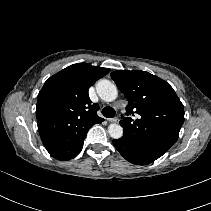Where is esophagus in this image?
<instances>
[{
  "instance_id": "34e87169",
  "label": "esophagus",
  "mask_w": 211,
  "mask_h": 211,
  "mask_svg": "<svg viewBox=\"0 0 211 211\" xmlns=\"http://www.w3.org/2000/svg\"><path fill=\"white\" fill-rule=\"evenodd\" d=\"M108 121L112 122V123H117V122H119V119L117 117H114V118L108 119Z\"/></svg>"
}]
</instances>
